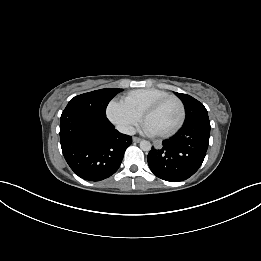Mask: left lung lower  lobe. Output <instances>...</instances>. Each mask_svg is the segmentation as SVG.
I'll return each instance as SVG.
<instances>
[{
  "label": "left lung lower lobe",
  "instance_id": "left-lung-lower-lobe-1",
  "mask_svg": "<svg viewBox=\"0 0 261 261\" xmlns=\"http://www.w3.org/2000/svg\"><path fill=\"white\" fill-rule=\"evenodd\" d=\"M210 121L199 120L183 125L158 149L152 147L147 160L153 174L178 182L191 177L201 166L209 144Z\"/></svg>",
  "mask_w": 261,
  "mask_h": 261
}]
</instances>
